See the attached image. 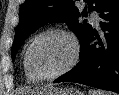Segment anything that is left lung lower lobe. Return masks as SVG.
Segmentation results:
<instances>
[{
    "label": "left lung lower lobe",
    "instance_id": "0a47b994",
    "mask_svg": "<svg viewBox=\"0 0 119 95\" xmlns=\"http://www.w3.org/2000/svg\"><path fill=\"white\" fill-rule=\"evenodd\" d=\"M97 12L103 33L90 29L80 43V62L54 83L76 82L119 94V0H106Z\"/></svg>",
    "mask_w": 119,
    "mask_h": 95
}]
</instances>
